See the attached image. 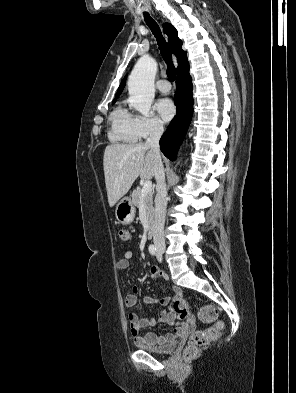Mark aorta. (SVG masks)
<instances>
[{
    "label": "aorta",
    "instance_id": "aorta-1",
    "mask_svg": "<svg viewBox=\"0 0 296 393\" xmlns=\"http://www.w3.org/2000/svg\"><path fill=\"white\" fill-rule=\"evenodd\" d=\"M156 72L157 62L145 55L137 61L128 79L130 103L144 116L149 115L154 100Z\"/></svg>",
    "mask_w": 296,
    "mask_h": 393
}]
</instances>
